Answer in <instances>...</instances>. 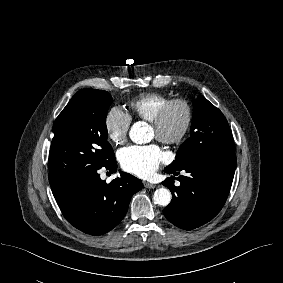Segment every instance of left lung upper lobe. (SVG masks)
Instances as JSON below:
<instances>
[{
	"mask_svg": "<svg viewBox=\"0 0 283 283\" xmlns=\"http://www.w3.org/2000/svg\"><path fill=\"white\" fill-rule=\"evenodd\" d=\"M190 137L179 147L175 160L166 169L175 170L201 160H212L235 154L228 122L222 112L204 96L193 103Z\"/></svg>",
	"mask_w": 283,
	"mask_h": 283,
	"instance_id": "obj_1",
	"label": "left lung upper lobe"
}]
</instances>
